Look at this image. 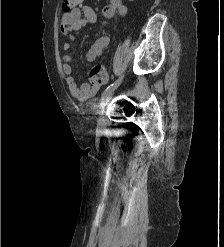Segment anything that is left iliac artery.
Here are the masks:
<instances>
[{
	"label": "left iliac artery",
	"instance_id": "obj_1",
	"mask_svg": "<svg viewBox=\"0 0 224 247\" xmlns=\"http://www.w3.org/2000/svg\"><path fill=\"white\" fill-rule=\"evenodd\" d=\"M122 79H123V76H121V77H120L118 80H116L114 83H112V84H110L109 86H107L106 89L104 90V92H106V91H108V90H110V89H113V88L117 87V86L121 83ZM104 92H103V93H104Z\"/></svg>",
	"mask_w": 224,
	"mask_h": 247
}]
</instances>
